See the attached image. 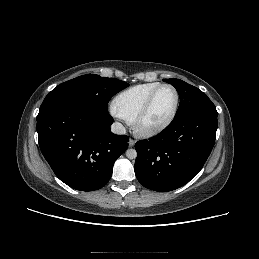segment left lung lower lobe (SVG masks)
Instances as JSON below:
<instances>
[{"mask_svg":"<svg viewBox=\"0 0 259 259\" xmlns=\"http://www.w3.org/2000/svg\"><path fill=\"white\" fill-rule=\"evenodd\" d=\"M218 113L194 111L174 118L156 137L138 141L135 175L146 188L182 187L202 169L215 143Z\"/></svg>","mask_w":259,"mask_h":259,"instance_id":"1","label":"left lung lower lobe"}]
</instances>
